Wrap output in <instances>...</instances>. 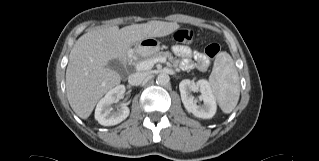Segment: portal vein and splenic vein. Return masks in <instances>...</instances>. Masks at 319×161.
I'll return each instance as SVG.
<instances>
[{
	"instance_id": "1",
	"label": "portal vein and splenic vein",
	"mask_w": 319,
	"mask_h": 161,
	"mask_svg": "<svg viewBox=\"0 0 319 161\" xmlns=\"http://www.w3.org/2000/svg\"><path fill=\"white\" fill-rule=\"evenodd\" d=\"M158 62L165 63L166 58L158 57V58H153V59L142 61V62L136 64V70H138V71L149 70L153 67L154 64H156Z\"/></svg>"
}]
</instances>
